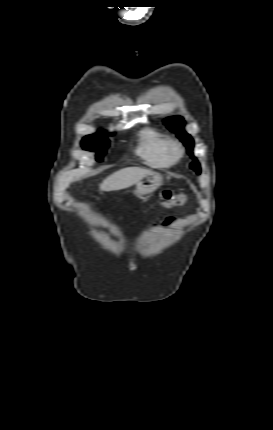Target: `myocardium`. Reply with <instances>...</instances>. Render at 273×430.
<instances>
[{"label": "myocardium", "instance_id": "obj_1", "mask_svg": "<svg viewBox=\"0 0 273 430\" xmlns=\"http://www.w3.org/2000/svg\"><path fill=\"white\" fill-rule=\"evenodd\" d=\"M168 155L173 162L179 161L183 156L182 145L176 140H171L168 145Z\"/></svg>", "mask_w": 273, "mask_h": 430}]
</instances>
